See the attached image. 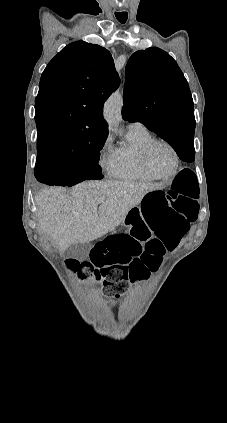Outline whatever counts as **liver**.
Wrapping results in <instances>:
<instances>
[{
  "instance_id": "1",
  "label": "liver",
  "mask_w": 227,
  "mask_h": 423,
  "mask_svg": "<svg viewBox=\"0 0 227 423\" xmlns=\"http://www.w3.org/2000/svg\"><path fill=\"white\" fill-rule=\"evenodd\" d=\"M161 188L162 184L150 182H83L71 190L46 188L36 196L39 231L48 233L59 251H66L73 243H88L115 231L148 192Z\"/></svg>"
}]
</instances>
